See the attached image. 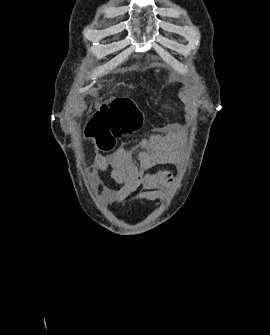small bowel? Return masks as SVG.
<instances>
[{"mask_svg":"<svg viewBox=\"0 0 270 335\" xmlns=\"http://www.w3.org/2000/svg\"><path fill=\"white\" fill-rule=\"evenodd\" d=\"M181 131L174 123L158 128L135 145L123 144L109 155L96 154L91 169V180L96 182L104 174L120 185L119 189L107 188L108 202L116 203L127 198L138 188L144 192L139 200L153 202L159 199L158 191L173 182V175L158 166L174 164L179 160L178 142Z\"/></svg>","mask_w":270,"mask_h":335,"instance_id":"1","label":"small bowel"}]
</instances>
